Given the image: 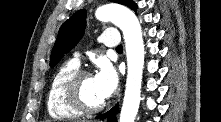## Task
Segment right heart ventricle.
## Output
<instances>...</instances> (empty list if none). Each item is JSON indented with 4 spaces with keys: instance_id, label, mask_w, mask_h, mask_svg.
I'll return each instance as SVG.
<instances>
[{
    "instance_id": "e07e8e85",
    "label": "right heart ventricle",
    "mask_w": 221,
    "mask_h": 122,
    "mask_svg": "<svg viewBox=\"0 0 221 122\" xmlns=\"http://www.w3.org/2000/svg\"><path fill=\"white\" fill-rule=\"evenodd\" d=\"M79 70V64L73 60L62 64L55 72L47 92V110L54 119H72L82 115L64 99L63 87L68 78Z\"/></svg>"
}]
</instances>
